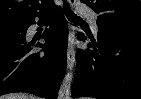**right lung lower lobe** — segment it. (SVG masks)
Segmentation results:
<instances>
[{"label": "right lung lower lobe", "mask_w": 141, "mask_h": 99, "mask_svg": "<svg viewBox=\"0 0 141 99\" xmlns=\"http://www.w3.org/2000/svg\"><path fill=\"white\" fill-rule=\"evenodd\" d=\"M38 24L47 18L49 30L42 34L45 44L29 41L26 32L34 18H26L16 25L0 28V95L27 92L47 99H55L66 70L68 29L60 7L54 6ZM44 48V53L33 52Z\"/></svg>", "instance_id": "right-lung-lower-lobe-1"}]
</instances>
